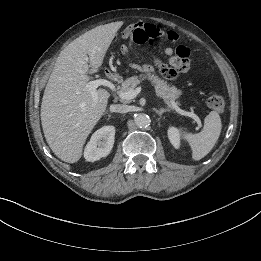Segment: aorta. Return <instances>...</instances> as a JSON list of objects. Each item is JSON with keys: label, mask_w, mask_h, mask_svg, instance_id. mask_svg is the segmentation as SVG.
I'll use <instances>...</instances> for the list:
<instances>
[{"label": "aorta", "mask_w": 261, "mask_h": 261, "mask_svg": "<svg viewBox=\"0 0 261 261\" xmlns=\"http://www.w3.org/2000/svg\"><path fill=\"white\" fill-rule=\"evenodd\" d=\"M135 124L139 127V128H146L150 125V117L144 113L142 114H138L135 117Z\"/></svg>", "instance_id": "762f6f07"}]
</instances>
